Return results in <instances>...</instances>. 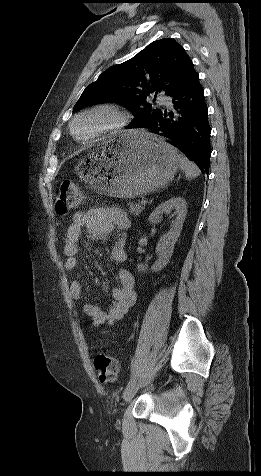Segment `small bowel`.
Masks as SVG:
<instances>
[{
	"mask_svg": "<svg viewBox=\"0 0 261 476\" xmlns=\"http://www.w3.org/2000/svg\"><path fill=\"white\" fill-rule=\"evenodd\" d=\"M131 226L128 214L118 207L92 208L87 212L74 215L65 239L64 253L66 270H74L79 265L80 241L84 232L95 239H106L116 231L114 244L111 248V260L122 263L126 260L127 231ZM118 285L111 290L112 303L108 311L96 304H83L84 313L92 319L95 327L104 324L113 325L121 320L136 302L134 277L124 268L117 271ZM70 291L75 299H81L83 286L79 280H73Z\"/></svg>",
	"mask_w": 261,
	"mask_h": 476,
	"instance_id": "1",
	"label": "small bowel"
}]
</instances>
